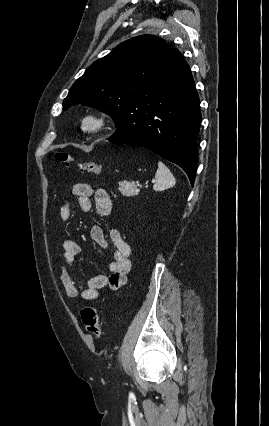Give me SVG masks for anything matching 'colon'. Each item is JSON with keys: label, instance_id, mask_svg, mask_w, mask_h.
<instances>
[{"label": "colon", "instance_id": "obj_1", "mask_svg": "<svg viewBox=\"0 0 269 426\" xmlns=\"http://www.w3.org/2000/svg\"><path fill=\"white\" fill-rule=\"evenodd\" d=\"M56 159L63 164H71L74 162V159L66 152H57L55 155ZM77 166L80 171L92 173V174H101L102 166L94 161H80L77 162ZM81 317L83 324L86 327V330L94 335L97 338H100L103 335L102 330V309L99 306L90 305L83 308L81 311Z\"/></svg>", "mask_w": 269, "mask_h": 426}]
</instances>
